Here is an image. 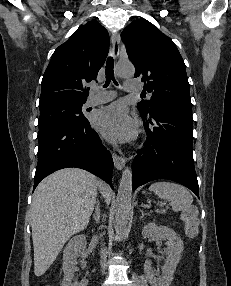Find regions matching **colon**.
Listing matches in <instances>:
<instances>
[{
    "instance_id": "1",
    "label": "colon",
    "mask_w": 231,
    "mask_h": 286,
    "mask_svg": "<svg viewBox=\"0 0 231 286\" xmlns=\"http://www.w3.org/2000/svg\"><path fill=\"white\" fill-rule=\"evenodd\" d=\"M185 231L188 237H194L198 231L197 212L193 206L185 208L182 212Z\"/></svg>"
}]
</instances>
